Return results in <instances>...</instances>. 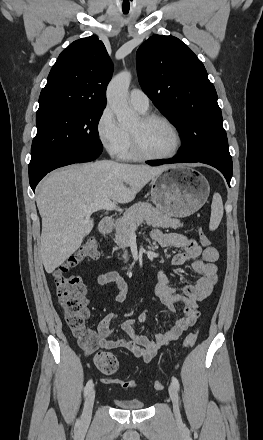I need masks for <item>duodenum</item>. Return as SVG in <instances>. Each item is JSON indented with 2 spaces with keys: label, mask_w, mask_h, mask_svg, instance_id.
Returning <instances> with one entry per match:
<instances>
[{
  "label": "duodenum",
  "mask_w": 263,
  "mask_h": 440,
  "mask_svg": "<svg viewBox=\"0 0 263 440\" xmlns=\"http://www.w3.org/2000/svg\"><path fill=\"white\" fill-rule=\"evenodd\" d=\"M112 222H113L112 219L109 217L102 218L99 222V231L105 234L108 233L112 225Z\"/></svg>",
  "instance_id": "obj_1"
}]
</instances>
